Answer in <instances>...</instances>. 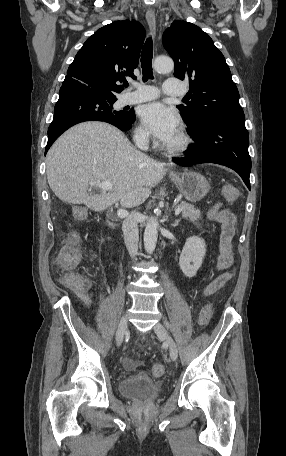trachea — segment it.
Wrapping results in <instances>:
<instances>
[{
    "label": "trachea",
    "mask_w": 286,
    "mask_h": 456,
    "mask_svg": "<svg viewBox=\"0 0 286 456\" xmlns=\"http://www.w3.org/2000/svg\"><path fill=\"white\" fill-rule=\"evenodd\" d=\"M152 58H153L152 38L149 37L147 39V41L145 42L142 53H141V67H142L144 82H146L148 79H153ZM124 86L128 87L129 84L125 83Z\"/></svg>",
    "instance_id": "1"
}]
</instances>
